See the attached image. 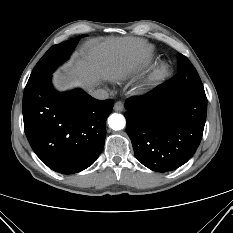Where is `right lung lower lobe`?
<instances>
[{"label": "right lung lower lobe", "mask_w": 233, "mask_h": 233, "mask_svg": "<svg viewBox=\"0 0 233 233\" xmlns=\"http://www.w3.org/2000/svg\"><path fill=\"white\" fill-rule=\"evenodd\" d=\"M46 76L23 94V120L35 154L50 169L73 174L101 153L112 99L97 100L82 90L56 92Z\"/></svg>", "instance_id": "obj_1"}]
</instances>
